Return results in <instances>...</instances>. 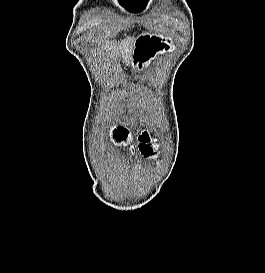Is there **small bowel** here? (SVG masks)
<instances>
[{"instance_id": "c3829d8e", "label": "small bowel", "mask_w": 265, "mask_h": 273, "mask_svg": "<svg viewBox=\"0 0 265 273\" xmlns=\"http://www.w3.org/2000/svg\"><path fill=\"white\" fill-rule=\"evenodd\" d=\"M133 108H136V105H133ZM134 114L142 115L143 111L135 110ZM134 119H137V116H134ZM132 123H136V120H132ZM123 128H125V125H122V128L115 129L113 132V137L118 143H130L132 140L131 135L126 129ZM140 152L146 161H155L159 157L156 141L147 134L140 137Z\"/></svg>"}]
</instances>
